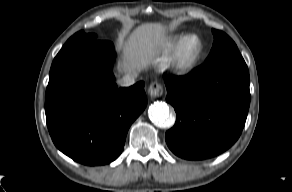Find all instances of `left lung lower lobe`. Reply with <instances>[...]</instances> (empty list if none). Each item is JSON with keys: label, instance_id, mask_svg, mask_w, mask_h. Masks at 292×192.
<instances>
[{"label": "left lung lower lobe", "instance_id": "obj_1", "mask_svg": "<svg viewBox=\"0 0 292 192\" xmlns=\"http://www.w3.org/2000/svg\"><path fill=\"white\" fill-rule=\"evenodd\" d=\"M176 123L166 132L170 150L188 160L219 155L239 138L250 104L244 59L204 63L185 76H164Z\"/></svg>", "mask_w": 292, "mask_h": 192}]
</instances>
